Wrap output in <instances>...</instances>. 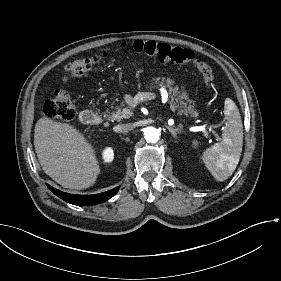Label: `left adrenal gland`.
<instances>
[{
  "label": "left adrenal gland",
  "instance_id": "a2214340",
  "mask_svg": "<svg viewBox=\"0 0 281 281\" xmlns=\"http://www.w3.org/2000/svg\"><path fill=\"white\" fill-rule=\"evenodd\" d=\"M167 128L174 138H177V134L181 132L179 128H173L169 126Z\"/></svg>",
  "mask_w": 281,
  "mask_h": 281
}]
</instances>
